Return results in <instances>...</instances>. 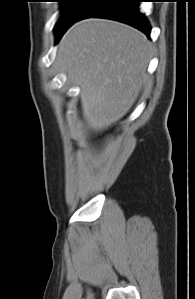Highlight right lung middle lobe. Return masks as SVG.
<instances>
[{
	"mask_svg": "<svg viewBox=\"0 0 195 299\" xmlns=\"http://www.w3.org/2000/svg\"><path fill=\"white\" fill-rule=\"evenodd\" d=\"M93 2V0H62V13L55 25V33L57 41L63 32L68 28L85 9Z\"/></svg>",
	"mask_w": 195,
	"mask_h": 299,
	"instance_id": "dd1d6c3e",
	"label": "right lung middle lobe"
}]
</instances>
